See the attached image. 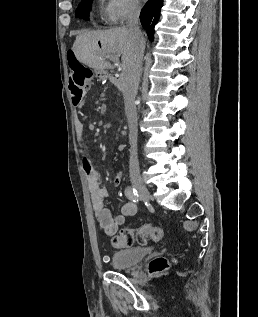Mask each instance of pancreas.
Instances as JSON below:
<instances>
[{
	"label": "pancreas",
	"mask_w": 258,
	"mask_h": 317,
	"mask_svg": "<svg viewBox=\"0 0 258 317\" xmlns=\"http://www.w3.org/2000/svg\"><path fill=\"white\" fill-rule=\"evenodd\" d=\"M111 81L113 82V83H118L119 82V84H123V80H122V78H119L118 76H113L112 78H111Z\"/></svg>",
	"instance_id": "obj_1"
}]
</instances>
